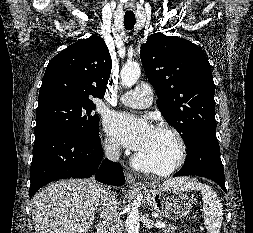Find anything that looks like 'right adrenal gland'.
Returning <instances> with one entry per match:
<instances>
[{
    "instance_id": "right-adrenal-gland-1",
    "label": "right adrenal gland",
    "mask_w": 253,
    "mask_h": 233,
    "mask_svg": "<svg viewBox=\"0 0 253 233\" xmlns=\"http://www.w3.org/2000/svg\"><path fill=\"white\" fill-rule=\"evenodd\" d=\"M101 210H102V208H99V209H98V212H100Z\"/></svg>"
}]
</instances>
